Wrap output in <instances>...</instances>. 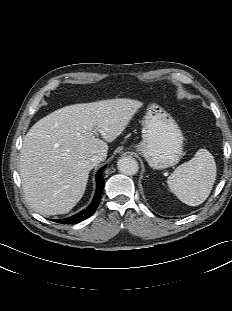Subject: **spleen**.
Masks as SVG:
<instances>
[{
  "instance_id": "1",
  "label": "spleen",
  "mask_w": 232,
  "mask_h": 311,
  "mask_svg": "<svg viewBox=\"0 0 232 311\" xmlns=\"http://www.w3.org/2000/svg\"><path fill=\"white\" fill-rule=\"evenodd\" d=\"M215 180L214 157L208 150L199 149L191 160L174 170L167 184L183 203L198 206L208 198Z\"/></svg>"
}]
</instances>
